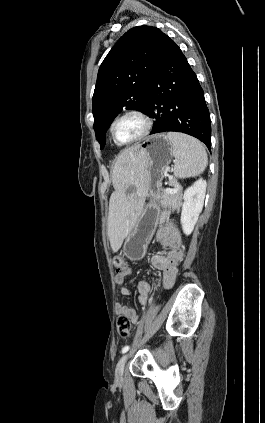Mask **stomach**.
<instances>
[{"instance_id": "stomach-1", "label": "stomach", "mask_w": 265, "mask_h": 423, "mask_svg": "<svg viewBox=\"0 0 265 423\" xmlns=\"http://www.w3.org/2000/svg\"><path fill=\"white\" fill-rule=\"evenodd\" d=\"M147 156L149 202L143 207L124 243L123 252L131 260L142 259L160 219L159 199L164 170L173 157L172 143L165 134L150 136L140 145Z\"/></svg>"}]
</instances>
